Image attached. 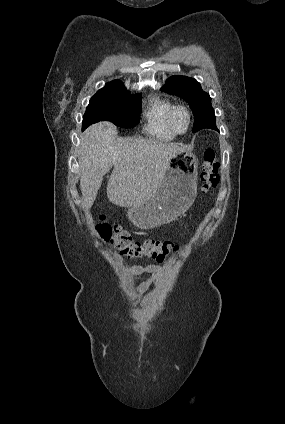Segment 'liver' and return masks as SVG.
Instances as JSON below:
<instances>
[{"instance_id": "obj_1", "label": "liver", "mask_w": 285, "mask_h": 424, "mask_svg": "<svg viewBox=\"0 0 285 424\" xmlns=\"http://www.w3.org/2000/svg\"><path fill=\"white\" fill-rule=\"evenodd\" d=\"M185 147L154 139L117 137L109 122L88 127L80 137L78 161L83 206L96 199L104 175L114 166L107 184L110 202L122 207L141 204L160 186L170 160Z\"/></svg>"}]
</instances>
